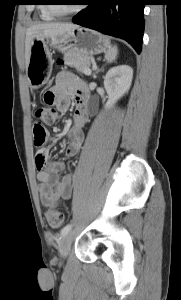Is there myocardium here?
I'll use <instances>...</instances> for the list:
<instances>
[{
    "label": "myocardium",
    "instance_id": "1",
    "mask_svg": "<svg viewBox=\"0 0 181 300\" xmlns=\"http://www.w3.org/2000/svg\"><path fill=\"white\" fill-rule=\"evenodd\" d=\"M53 1L47 0V9L48 11L55 17H65L70 16L78 12V8L71 9L69 11H61L57 8L55 4L52 3Z\"/></svg>",
    "mask_w": 181,
    "mask_h": 300
}]
</instances>
